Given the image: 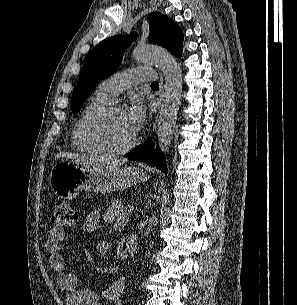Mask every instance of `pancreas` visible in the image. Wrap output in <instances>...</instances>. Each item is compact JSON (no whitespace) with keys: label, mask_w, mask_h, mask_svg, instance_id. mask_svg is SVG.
Here are the masks:
<instances>
[{"label":"pancreas","mask_w":297,"mask_h":305,"mask_svg":"<svg viewBox=\"0 0 297 305\" xmlns=\"http://www.w3.org/2000/svg\"><path fill=\"white\" fill-rule=\"evenodd\" d=\"M126 209L118 199L114 198L111 201L110 207L106 210L104 218L108 222L117 220V222L124 223L128 215Z\"/></svg>","instance_id":"obj_1"}]
</instances>
